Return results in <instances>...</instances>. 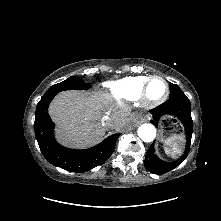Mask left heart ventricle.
<instances>
[{
  "instance_id": "1",
  "label": "left heart ventricle",
  "mask_w": 221,
  "mask_h": 221,
  "mask_svg": "<svg viewBox=\"0 0 221 221\" xmlns=\"http://www.w3.org/2000/svg\"><path fill=\"white\" fill-rule=\"evenodd\" d=\"M165 92V86L161 80H154L149 87V97L151 99L160 98Z\"/></svg>"
}]
</instances>
